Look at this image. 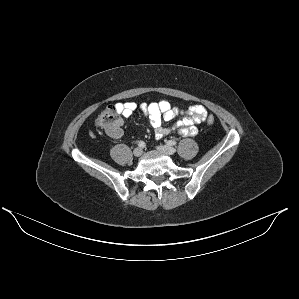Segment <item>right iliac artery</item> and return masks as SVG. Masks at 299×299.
Returning <instances> with one entry per match:
<instances>
[{
	"instance_id": "right-iliac-artery-1",
	"label": "right iliac artery",
	"mask_w": 299,
	"mask_h": 299,
	"mask_svg": "<svg viewBox=\"0 0 299 299\" xmlns=\"http://www.w3.org/2000/svg\"><path fill=\"white\" fill-rule=\"evenodd\" d=\"M145 142H143V141H140L139 143H138V146L139 147H141V148H143V147H145Z\"/></svg>"
}]
</instances>
